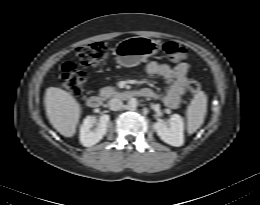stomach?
I'll list each match as a JSON object with an SVG mask.
<instances>
[{
  "mask_svg": "<svg viewBox=\"0 0 260 205\" xmlns=\"http://www.w3.org/2000/svg\"><path fill=\"white\" fill-rule=\"evenodd\" d=\"M158 43L148 37L136 36L120 41L115 47L116 62L133 67L158 52Z\"/></svg>",
  "mask_w": 260,
  "mask_h": 205,
  "instance_id": "0dacf381",
  "label": "stomach"
}]
</instances>
